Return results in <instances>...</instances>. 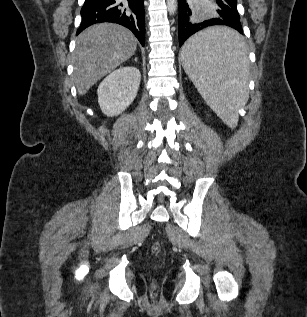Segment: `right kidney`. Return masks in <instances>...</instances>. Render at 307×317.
I'll list each match as a JSON object with an SVG mask.
<instances>
[{
  "instance_id": "obj_1",
  "label": "right kidney",
  "mask_w": 307,
  "mask_h": 317,
  "mask_svg": "<svg viewBox=\"0 0 307 317\" xmlns=\"http://www.w3.org/2000/svg\"><path fill=\"white\" fill-rule=\"evenodd\" d=\"M140 79V71L131 66L121 67L110 73L97 90L101 111L109 117L125 111L137 95Z\"/></svg>"
}]
</instances>
